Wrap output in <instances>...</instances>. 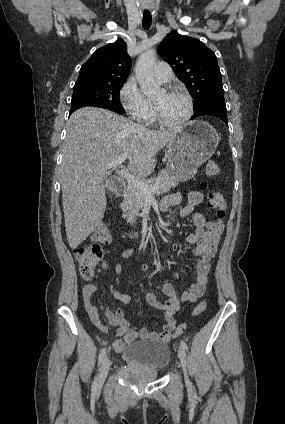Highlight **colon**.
I'll use <instances>...</instances> for the list:
<instances>
[{
    "mask_svg": "<svg viewBox=\"0 0 285 424\" xmlns=\"http://www.w3.org/2000/svg\"><path fill=\"white\" fill-rule=\"evenodd\" d=\"M220 173V167L214 160L206 163L204 174L206 178H213ZM206 189V183L201 185ZM209 203L214 211V219L209 222L205 238L199 245L200 254L211 259L215 256L224 231V218L226 214V198L222 192L212 191L209 193ZM94 239L98 243L110 244L112 235L107 224L100 223L94 232ZM98 243H93L74 250V257L79 263V272L83 279L90 280L96 266L102 261L103 252ZM206 309V302L199 303L193 310V315L198 316ZM185 326L182 325L175 330V334H182Z\"/></svg>",
    "mask_w": 285,
    "mask_h": 424,
    "instance_id": "5ec220e1",
    "label": "colon"
}]
</instances>
